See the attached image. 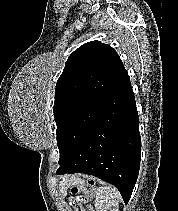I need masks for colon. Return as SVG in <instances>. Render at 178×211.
I'll list each match as a JSON object with an SVG mask.
<instances>
[{
	"mask_svg": "<svg viewBox=\"0 0 178 211\" xmlns=\"http://www.w3.org/2000/svg\"><path fill=\"white\" fill-rule=\"evenodd\" d=\"M95 184L93 181H86L79 183L71 188L70 202L75 203H87L89 202L94 193ZM87 211H93L92 208H87Z\"/></svg>",
	"mask_w": 178,
	"mask_h": 211,
	"instance_id": "obj_1",
	"label": "colon"
}]
</instances>
